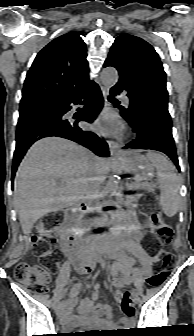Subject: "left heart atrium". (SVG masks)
Listing matches in <instances>:
<instances>
[{"label":"left heart atrium","instance_id":"obj_1","mask_svg":"<svg viewBox=\"0 0 194 336\" xmlns=\"http://www.w3.org/2000/svg\"><path fill=\"white\" fill-rule=\"evenodd\" d=\"M94 127L103 134H114L119 131L121 123L114 114L104 113L96 120Z\"/></svg>","mask_w":194,"mask_h":336}]
</instances>
